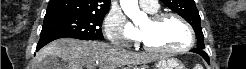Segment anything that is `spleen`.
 Segmentation results:
<instances>
[{
	"label": "spleen",
	"mask_w": 246,
	"mask_h": 69,
	"mask_svg": "<svg viewBox=\"0 0 246 69\" xmlns=\"http://www.w3.org/2000/svg\"><path fill=\"white\" fill-rule=\"evenodd\" d=\"M195 69H203V67L201 65H199V64H196L195 65Z\"/></svg>",
	"instance_id": "3e777b00"
}]
</instances>
